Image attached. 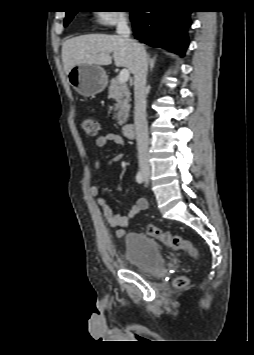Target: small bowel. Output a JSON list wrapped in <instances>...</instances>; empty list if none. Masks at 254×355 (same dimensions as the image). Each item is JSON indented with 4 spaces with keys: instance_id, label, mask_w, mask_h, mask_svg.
Masks as SVG:
<instances>
[{
    "instance_id": "small-bowel-1",
    "label": "small bowel",
    "mask_w": 254,
    "mask_h": 355,
    "mask_svg": "<svg viewBox=\"0 0 254 355\" xmlns=\"http://www.w3.org/2000/svg\"><path fill=\"white\" fill-rule=\"evenodd\" d=\"M95 144L97 147H104L108 144H124V139L117 134L107 133L99 136ZM122 159V155H116L105 161L104 166H111L115 162ZM103 167V162L97 160L94 164V168L99 170ZM90 194L94 197L98 205L102 209V215L105 221L113 228H116V236L122 237L125 234V228L128 226L129 222L137 217L142 211L148 208V201L145 198H138L133 205L129 208L126 214H120L113 211V209L108 205L106 199L100 194L97 186H91Z\"/></svg>"
}]
</instances>
